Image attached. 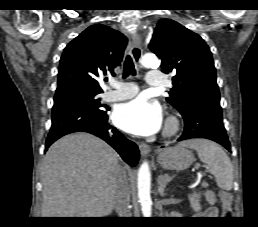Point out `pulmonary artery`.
Here are the masks:
<instances>
[{"label": "pulmonary artery", "instance_id": "e3ab8cb5", "mask_svg": "<svg viewBox=\"0 0 258 227\" xmlns=\"http://www.w3.org/2000/svg\"><path fill=\"white\" fill-rule=\"evenodd\" d=\"M147 83L150 86L160 87L164 85V79L162 73L157 70H151L147 74ZM111 90L103 94V100L108 102H116L129 99L135 96L139 88L135 83L131 82H120L112 80L110 82Z\"/></svg>", "mask_w": 258, "mask_h": 227}]
</instances>
